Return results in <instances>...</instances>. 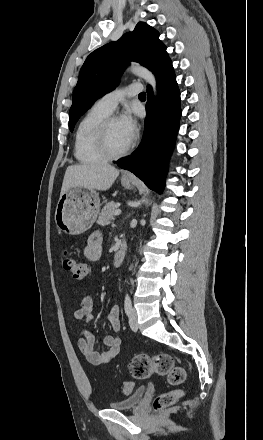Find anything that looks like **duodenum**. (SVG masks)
Segmentation results:
<instances>
[{
    "label": "duodenum",
    "mask_w": 263,
    "mask_h": 440,
    "mask_svg": "<svg viewBox=\"0 0 263 440\" xmlns=\"http://www.w3.org/2000/svg\"><path fill=\"white\" fill-rule=\"evenodd\" d=\"M125 251L126 245L124 242H121L113 257V265L115 267H119L122 264L125 257Z\"/></svg>",
    "instance_id": "1"
}]
</instances>
